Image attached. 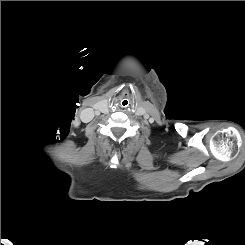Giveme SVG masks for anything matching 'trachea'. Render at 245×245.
I'll return each mask as SVG.
<instances>
[{
	"mask_svg": "<svg viewBox=\"0 0 245 245\" xmlns=\"http://www.w3.org/2000/svg\"><path fill=\"white\" fill-rule=\"evenodd\" d=\"M129 104H130V101L127 98L122 99L120 102V105L122 108H127L129 106Z\"/></svg>",
	"mask_w": 245,
	"mask_h": 245,
	"instance_id": "1",
	"label": "trachea"
}]
</instances>
